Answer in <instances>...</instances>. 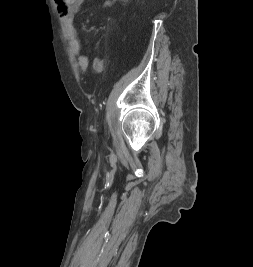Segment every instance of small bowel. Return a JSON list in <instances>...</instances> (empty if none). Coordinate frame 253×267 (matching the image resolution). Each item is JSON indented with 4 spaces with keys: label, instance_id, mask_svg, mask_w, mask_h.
<instances>
[{
    "label": "small bowel",
    "instance_id": "c3829d8e",
    "mask_svg": "<svg viewBox=\"0 0 253 267\" xmlns=\"http://www.w3.org/2000/svg\"><path fill=\"white\" fill-rule=\"evenodd\" d=\"M84 1L85 0H73V2L69 5H62L58 2V0H56L59 14L65 25L71 52L74 55V57L77 59L78 64L81 69L87 68L88 59L85 55L82 54V45H81V41L79 38L77 26H76L75 16ZM116 1L118 0H105L104 7L105 8L111 7L113 3ZM119 1H123V0H119ZM95 64L100 65L101 60H96Z\"/></svg>",
    "mask_w": 253,
    "mask_h": 267
}]
</instances>
